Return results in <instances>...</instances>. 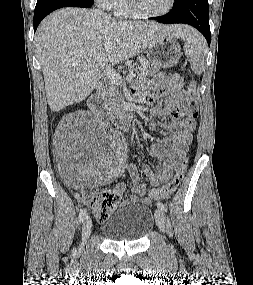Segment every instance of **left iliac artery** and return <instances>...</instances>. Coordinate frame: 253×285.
Returning <instances> with one entry per match:
<instances>
[{
    "label": "left iliac artery",
    "instance_id": "obj_1",
    "mask_svg": "<svg viewBox=\"0 0 253 285\" xmlns=\"http://www.w3.org/2000/svg\"><path fill=\"white\" fill-rule=\"evenodd\" d=\"M157 206L160 210H162L163 212H167V208L165 207V205L161 202L157 203Z\"/></svg>",
    "mask_w": 253,
    "mask_h": 285
}]
</instances>
